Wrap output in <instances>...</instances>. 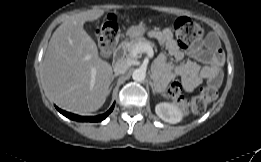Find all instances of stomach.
I'll return each mask as SVG.
<instances>
[{
	"label": "stomach",
	"mask_w": 261,
	"mask_h": 162,
	"mask_svg": "<svg viewBox=\"0 0 261 162\" xmlns=\"http://www.w3.org/2000/svg\"><path fill=\"white\" fill-rule=\"evenodd\" d=\"M147 31V27L144 24L133 25L129 27L126 31V34L130 38H137L142 36Z\"/></svg>",
	"instance_id": "stomach-1"
}]
</instances>
